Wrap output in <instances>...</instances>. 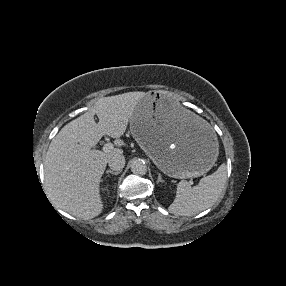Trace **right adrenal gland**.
Listing matches in <instances>:
<instances>
[{
  "label": "right adrenal gland",
  "instance_id": "2a0ac1e0",
  "mask_svg": "<svg viewBox=\"0 0 286 286\" xmlns=\"http://www.w3.org/2000/svg\"><path fill=\"white\" fill-rule=\"evenodd\" d=\"M106 174H113V175H119L120 171H113V170H107Z\"/></svg>",
  "mask_w": 286,
  "mask_h": 286
}]
</instances>
